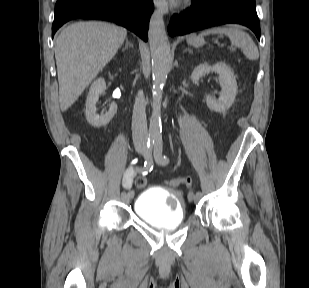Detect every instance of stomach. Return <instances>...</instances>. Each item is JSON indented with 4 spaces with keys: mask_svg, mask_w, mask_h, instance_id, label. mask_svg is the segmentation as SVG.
<instances>
[{
    "mask_svg": "<svg viewBox=\"0 0 309 288\" xmlns=\"http://www.w3.org/2000/svg\"><path fill=\"white\" fill-rule=\"evenodd\" d=\"M186 40L189 45H192L195 47L201 46L204 43V40L202 37L196 36L194 34L187 36Z\"/></svg>",
    "mask_w": 309,
    "mask_h": 288,
    "instance_id": "0dacf381",
    "label": "stomach"
}]
</instances>
